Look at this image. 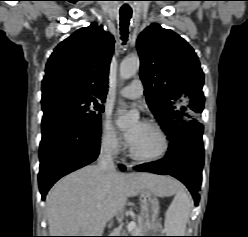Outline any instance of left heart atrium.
<instances>
[{
    "instance_id": "39dd6f15",
    "label": "left heart atrium",
    "mask_w": 248,
    "mask_h": 237,
    "mask_svg": "<svg viewBox=\"0 0 248 237\" xmlns=\"http://www.w3.org/2000/svg\"><path fill=\"white\" fill-rule=\"evenodd\" d=\"M143 123L138 121L136 122L129 130L125 133V138L127 142L131 145L138 135Z\"/></svg>"
}]
</instances>
